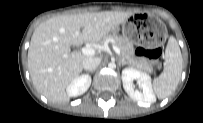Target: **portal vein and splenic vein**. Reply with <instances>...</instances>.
Returning a JSON list of instances; mask_svg holds the SVG:
<instances>
[{
  "instance_id": "1",
  "label": "portal vein and splenic vein",
  "mask_w": 203,
  "mask_h": 123,
  "mask_svg": "<svg viewBox=\"0 0 203 123\" xmlns=\"http://www.w3.org/2000/svg\"><path fill=\"white\" fill-rule=\"evenodd\" d=\"M112 49H113V50L115 51V53H117V54H120V53H121L120 49H119L117 46H115V45H112ZM81 51H82V53H83L84 55H86V56H92V55L95 54V50H94L93 48L89 47V46L83 47V48L81 49Z\"/></svg>"
}]
</instances>
